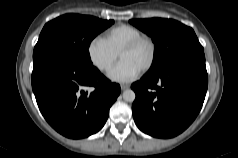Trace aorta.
Segmentation results:
<instances>
[{
    "instance_id": "aorta-1",
    "label": "aorta",
    "mask_w": 238,
    "mask_h": 158,
    "mask_svg": "<svg viewBox=\"0 0 238 158\" xmlns=\"http://www.w3.org/2000/svg\"><path fill=\"white\" fill-rule=\"evenodd\" d=\"M135 93L131 89H127L123 92V99L127 102H133L135 100Z\"/></svg>"
}]
</instances>
